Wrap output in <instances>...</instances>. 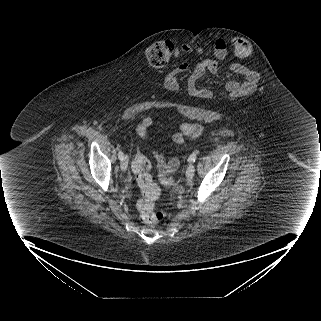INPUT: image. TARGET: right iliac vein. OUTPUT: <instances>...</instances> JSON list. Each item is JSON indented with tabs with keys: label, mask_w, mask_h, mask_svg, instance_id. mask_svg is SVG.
I'll use <instances>...</instances> for the list:
<instances>
[{
	"label": "right iliac vein",
	"mask_w": 321,
	"mask_h": 321,
	"mask_svg": "<svg viewBox=\"0 0 321 321\" xmlns=\"http://www.w3.org/2000/svg\"><path fill=\"white\" fill-rule=\"evenodd\" d=\"M120 166H121V169H122L123 171H126V170H127V168H128V156H127V155H125V156L123 157V159L121 160Z\"/></svg>",
	"instance_id": "right-iliac-vein-1"
}]
</instances>
